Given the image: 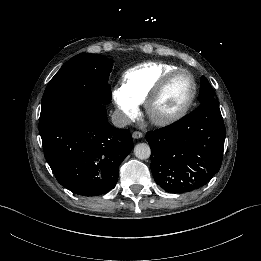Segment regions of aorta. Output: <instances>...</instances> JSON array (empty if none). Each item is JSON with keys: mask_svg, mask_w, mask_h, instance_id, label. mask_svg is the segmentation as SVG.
Masks as SVG:
<instances>
[{"mask_svg": "<svg viewBox=\"0 0 261 261\" xmlns=\"http://www.w3.org/2000/svg\"><path fill=\"white\" fill-rule=\"evenodd\" d=\"M134 154L138 159L145 160L151 155V149L146 143H138L134 147Z\"/></svg>", "mask_w": 261, "mask_h": 261, "instance_id": "1", "label": "aorta"}]
</instances>
